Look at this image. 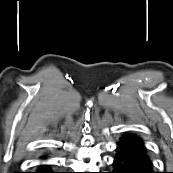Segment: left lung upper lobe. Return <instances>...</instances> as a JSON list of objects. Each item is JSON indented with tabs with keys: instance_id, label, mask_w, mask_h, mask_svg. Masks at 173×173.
Listing matches in <instances>:
<instances>
[{
	"instance_id": "obj_1",
	"label": "left lung upper lobe",
	"mask_w": 173,
	"mask_h": 173,
	"mask_svg": "<svg viewBox=\"0 0 173 173\" xmlns=\"http://www.w3.org/2000/svg\"><path fill=\"white\" fill-rule=\"evenodd\" d=\"M122 142L125 143H129V144H135V145H139V146H144V142L141 140V138H139L138 136L134 135V134H128L125 133L121 139Z\"/></svg>"
}]
</instances>
